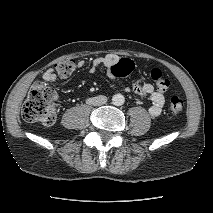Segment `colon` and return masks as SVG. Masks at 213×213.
<instances>
[{
  "instance_id": "colon-1",
  "label": "colon",
  "mask_w": 213,
  "mask_h": 213,
  "mask_svg": "<svg viewBox=\"0 0 213 213\" xmlns=\"http://www.w3.org/2000/svg\"><path fill=\"white\" fill-rule=\"evenodd\" d=\"M74 68L75 62L73 60H64L55 65L56 72L61 77H68ZM133 70L134 63L130 59L123 58L112 67L111 72L116 78H125L130 76ZM151 78L159 92H165L169 88L170 81L160 69H153ZM55 100L56 93L52 88L41 81L35 82L22 107L23 119L44 126L52 125L57 117ZM183 106V100L179 96H171L169 110L172 114L178 115L183 110Z\"/></svg>"
}]
</instances>
